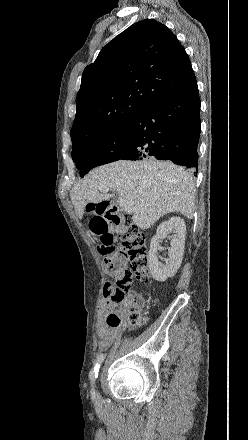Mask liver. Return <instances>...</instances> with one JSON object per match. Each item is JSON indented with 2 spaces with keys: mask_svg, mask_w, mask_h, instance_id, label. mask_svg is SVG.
<instances>
[{
  "mask_svg": "<svg viewBox=\"0 0 248 440\" xmlns=\"http://www.w3.org/2000/svg\"><path fill=\"white\" fill-rule=\"evenodd\" d=\"M109 190L132 204L133 222L142 230L170 212L189 219L194 215L193 175L169 161L120 160L93 169L74 185L70 194L78 218H83L88 203L110 199Z\"/></svg>",
  "mask_w": 248,
  "mask_h": 440,
  "instance_id": "obj_1",
  "label": "liver"
}]
</instances>
